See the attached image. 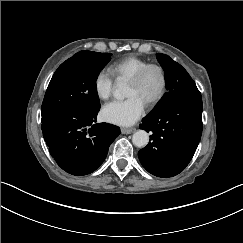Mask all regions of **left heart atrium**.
I'll return each instance as SVG.
<instances>
[{
    "instance_id": "1",
    "label": "left heart atrium",
    "mask_w": 243,
    "mask_h": 243,
    "mask_svg": "<svg viewBox=\"0 0 243 243\" xmlns=\"http://www.w3.org/2000/svg\"><path fill=\"white\" fill-rule=\"evenodd\" d=\"M146 103L137 95L125 100H112L105 103L101 115L106 122L116 125H130L138 120L145 111Z\"/></svg>"
}]
</instances>
